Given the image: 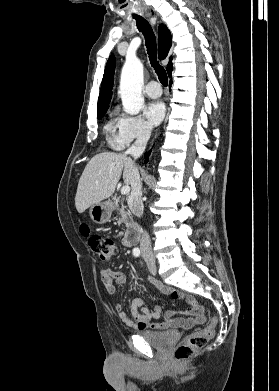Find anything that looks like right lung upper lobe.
<instances>
[{
  "label": "right lung upper lobe",
  "mask_w": 279,
  "mask_h": 391,
  "mask_svg": "<svg viewBox=\"0 0 279 391\" xmlns=\"http://www.w3.org/2000/svg\"><path fill=\"white\" fill-rule=\"evenodd\" d=\"M158 34H159L158 56L159 59L163 60L167 57L168 52L172 45L171 34L168 28L163 24L159 26ZM169 60L170 61L167 66V72L170 77L172 72V57H170ZM114 69H115V58L111 56L107 61L105 71H104V76H103L101 90L98 99V109H97L98 111L108 108V104L111 100V95H112Z\"/></svg>",
  "instance_id": "cb5924a9"
}]
</instances>
